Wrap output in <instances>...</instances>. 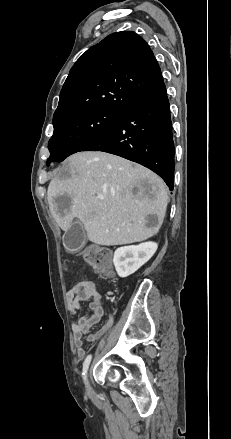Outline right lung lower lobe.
I'll use <instances>...</instances> for the list:
<instances>
[{
  "label": "right lung lower lobe",
  "mask_w": 231,
  "mask_h": 439,
  "mask_svg": "<svg viewBox=\"0 0 231 439\" xmlns=\"http://www.w3.org/2000/svg\"><path fill=\"white\" fill-rule=\"evenodd\" d=\"M83 151H103L137 162L173 190L175 147L166 88L131 104L117 123Z\"/></svg>",
  "instance_id": "obj_1"
}]
</instances>
